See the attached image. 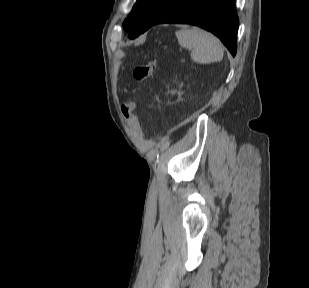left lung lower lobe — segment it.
<instances>
[{"mask_svg":"<svg viewBox=\"0 0 309 288\" xmlns=\"http://www.w3.org/2000/svg\"><path fill=\"white\" fill-rule=\"evenodd\" d=\"M234 2L235 0H162L142 28L129 37L134 39L156 24H192L215 34L235 56L239 19Z\"/></svg>","mask_w":309,"mask_h":288,"instance_id":"1","label":"left lung lower lobe"}]
</instances>
